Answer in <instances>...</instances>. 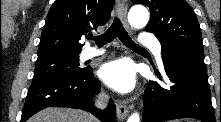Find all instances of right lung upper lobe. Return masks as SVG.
<instances>
[{
	"instance_id": "cb5924a9",
	"label": "right lung upper lobe",
	"mask_w": 221,
	"mask_h": 122,
	"mask_svg": "<svg viewBox=\"0 0 221 122\" xmlns=\"http://www.w3.org/2000/svg\"><path fill=\"white\" fill-rule=\"evenodd\" d=\"M114 0H56L50 8L38 47V59L78 55L81 36L105 24Z\"/></svg>"
}]
</instances>
